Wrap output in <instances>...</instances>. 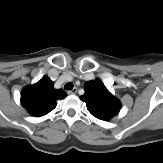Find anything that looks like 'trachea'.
<instances>
[{
    "label": "trachea",
    "instance_id": "trachea-1",
    "mask_svg": "<svg viewBox=\"0 0 163 163\" xmlns=\"http://www.w3.org/2000/svg\"><path fill=\"white\" fill-rule=\"evenodd\" d=\"M64 89H65V90H72V89H73V84H72L71 82L65 84Z\"/></svg>",
    "mask_w": 163,
    "mask_h": 163
}]
</instances>
